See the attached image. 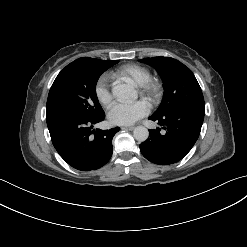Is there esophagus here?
<instances>
[{
    "label": "esophagus",
    "instance_id": "34e87169",
    "mask_svg": "<svg viewBox=\"0 0 247 247\" xmlns=\"http://www.w3.org/2000/svg\"><path fill=\"white\" fill-rule=\"evenodd\" d=\"M122 128L127 129V130H133L135 128V126H124Z\"/></svg>",
    "mask_w": 247,
    "mask_h": 247
}]
</instances>
